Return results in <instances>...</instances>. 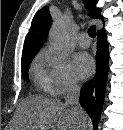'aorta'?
Returning a JSON list of instances; mask_svg holds the SVG:
<instances>
[{"instance_id": "1", "label": "aorta", "mask_w": 123, "mask_h": 130, "mask_svg": "<svg viewBox=\"0 0 123 130\" xmlns=\"http://www.w3.org/2000/svg\"><path fill=\"white\" fill-rule=\"evenodd\" d=\"M50 44L56 53H61L68 45L67 23L61 19L53 24L49 32Z\"/></svg>"}]
</instances>
